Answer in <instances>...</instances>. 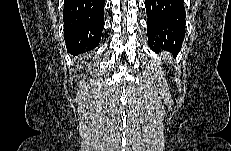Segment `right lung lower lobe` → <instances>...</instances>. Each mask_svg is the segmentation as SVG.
<instances>
[{"label": "right lung lower lobe", "mask_w": 231, "mask_h": 151, "mask_svg": "<svg viewBox=\"0 0 231 151\" xmlns=\"http://www.w3.org/2000/svg\"><path fill=\"white\" fill-rule=\"evenodd\" d=\"M105 0H65L64 39L72 55L94 49L101 40Z\"/></svg>", "instance_id": "98d812e1"}]
</instances>
